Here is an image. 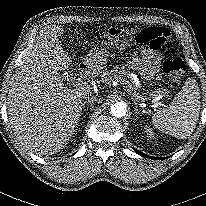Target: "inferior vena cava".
<instances>
[{"label":"inferior vena cava","mask_w":206,"mask_h":206,"mask_svg":"<svg viewBox=\"0 0 206 206\" xmlns=\"http://www.w3.org/2000/svg\"><path fill=\"white\" fill-rule=\"evenodd\" d=\"M83 98L88 99V101L90 100L93 103L101 101L98 97H96L92 94L91 90H87V91L83 92Z\"/></svg>","instance_id":"1"}]
</instances>
